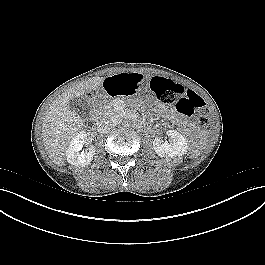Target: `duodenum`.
Here are the masks:
<instances>
[{"mask_svg":"<svg viewBox=\"0 0 265 265\" xmlns=\"http://www.w3.org/2000/svg\"><path fill=\"white\" fill-rule=\"evenodd\" d=\"M98 118V111H95L94 113H93V119H97Z\"/></svg>","mask_w":265,"mask_h":265,"instance_id":"1","label":"duodenum"}]
</instances>
